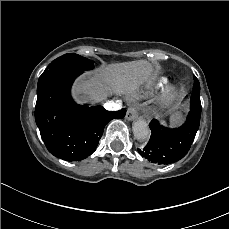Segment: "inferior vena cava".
Returning a JSON list of instances; mask_svg holds the SVG:
<instances>
[{
    "mask_svg": "<svg viewBox=\"0 0 229 229\" xmlns=\"http://www.w3.org/2000/svg\"><path fill=\"white\" fill-rule=\"evenodd\" d=\"M117 106L120 107V105L118 103H115L114 101H107L104 104V108L106 110H115Z\"/></svg>",
    "mask_w": 229,
    "mask_h": 229,
    "instance_id": "inferior-vena-cava-1",
    "label": "inferior vena cava"
}]
</instances>
